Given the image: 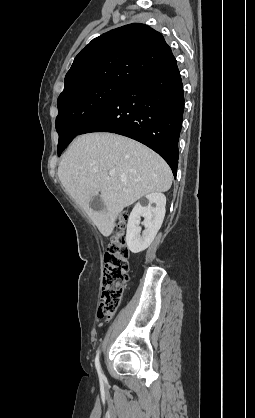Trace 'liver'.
I'll return each mask as SVG.
<instances>
[{
    "label": "liver",
    "instance_id": "obj_1",
    "mask_svg": "<svg viewBox=\"0 0 255 418\" xmlns=\"http://www.w3.org/2000/svg\"><path fill=\"white\" fill-rule=\"evenodd\" d=\"M110 172L114 175L110 176ZM58 177L106 237L115 227L112 220L125 207L149 193L166 192L172 185L171 169L157 153L113 133L78 136L59 164ZM98 194L105 205L103 211L90 207Z\"/></svg>",
    "mask_w": 255,
    "mask_h": 418
}]
</instances>
